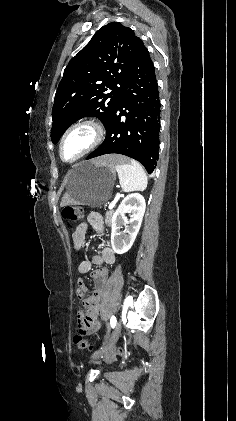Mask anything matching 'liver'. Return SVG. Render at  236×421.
Returning <instances> with one entry per match:
<instances>
[{"label": "liver", "mask_w": 236, "mask_h": 421, "mask_svg": "<svg viewBox=\"0 0 236 421\" xmlns=\"http://www.w3.org/2000/svg\"><path fill=\"white\" fill-rule=\"evenodd\" d=\"M123 160L124 156H120V154H105V156L96 158L95 162H100V164H107V166H115L117 162H123ZM65 204H72V200L68 192H65L64 196H62L60 206H65Z\"/></svg>", "instance_id": "1"}]
</instances>
